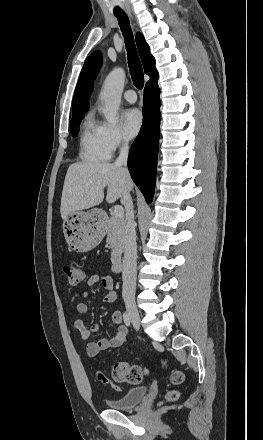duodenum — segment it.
I'll list each match as a JSON object with an SVG mask.
<instances>
[{
  "mask_svg": "<svg viewBox=\"0 0 263 440\" xmlns=\"http://www.w3.org/2000/svg\"><path fill=\"white\" fill-rule=\"evenodd\" d=\"M123 270V260L117 259L114 263V271L115 272H121Z\"/></svg>",
  "mask_w": 263,
  "mask_h": 440,
  "instance_id": "410a0bca",
  "label": "duodenum"
}]
</instances>
